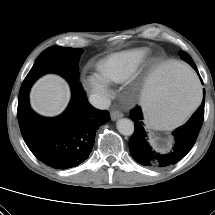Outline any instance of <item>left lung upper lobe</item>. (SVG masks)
Instances as JSON below:
<instances>
[{
	"label": "left lung upper lobe",
	"mask_w": 215,
	"mask_h": 215,
	"mask_svg": "<svg viewBox=\"0 0 215 215\" xmlns=\"http://www.w3.org/2000/svg\"><path fill=\"white\" fill-rule=\"evenodd\" d=\"M179 53H180L181 58L183 60H185L186 62H188L196 71H198L197 68H196V65H195L194 61L192 60V58L186 52L179 51ZM204 95H205V92H204Z\"/></svg>",
	"instance_id": "1"
}]
</instances>
